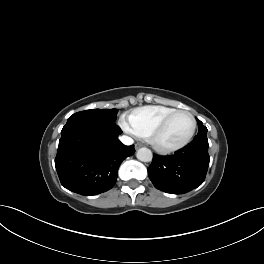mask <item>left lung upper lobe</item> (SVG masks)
Here are the masks:
<instances>
[{"instance_id":"5c2ea615","label":"left lung upper lobe","mask_w":264,"mask_h":264,"mask_svg":"<svg viewBox=\"0 0 264 264\" xmlns=\"http://www.w3.org/2000/svg\"><path fill=\"white\" fill-rule=\"evenodd\" d=\"M197 122H198V129H199V135H206L207 134V128L206 126H203L202 122L196 118Z\"/></svg>"}]
</instances>
